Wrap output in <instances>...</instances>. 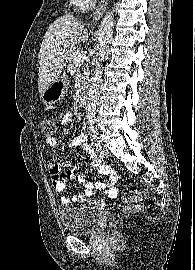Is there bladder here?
Masks as SVG:
<instances>
[{"label":"bladder","instance_id":"obj_1","mask_svg":"<svg viewBox=\"0 0 195 270\" xmlns=\"http://www.w3.org/2000/svg\"><path fill=\"white\" fill-rule=\"evenodd\" d=\"M59 217L68 233L90 234L99 218V211L89 204L64 206L59 209Z\"/></svg>","mask_w":195,"mask_h":270}]
</instances>
